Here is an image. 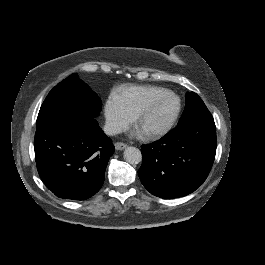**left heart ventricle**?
Listing matches in <instances>:
<instances>
[{
  "label": "left heart ventricle",
  "mask_w": 265,
  "mask_h": 265,
  "mask_svg": "<svg viewBox=\"0 0 265 265\" xmlns=\"http://www.w3.org/2000/svg\"><path fill=\"white\" fill-rule=\"evenodd\" d=\"M178 107L176 98L167 93L156 96L148 112L139 119L138 127L142 131L150 130L162 121L166 120L174 114Z\"/></svg>",
  "instance_id": "left-heart-ventricle-1"
}]
</instances>
